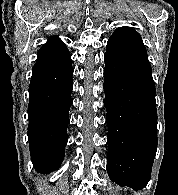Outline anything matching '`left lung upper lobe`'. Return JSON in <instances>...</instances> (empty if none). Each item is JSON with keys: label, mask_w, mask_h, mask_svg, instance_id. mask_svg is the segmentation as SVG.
I'll list each match as a JSON object with an SVG mask.
<instances>
[{"label": "left lung upper lobe", "mask_w": 178, "mask_h": 195, "mask_svg": "<svg viewBox=\"0 0 178 195\" xmlns=\"http://www.w3.org/2000/svg\"><path fill=\"white\" fill-rule=\"evenodd\" d=\"M106 53L151 67L140 34L129 27L118 28L111 35Z\"/></svg>", "instance_id": "left-lung-upper-lobe-1"}]
</instances>
